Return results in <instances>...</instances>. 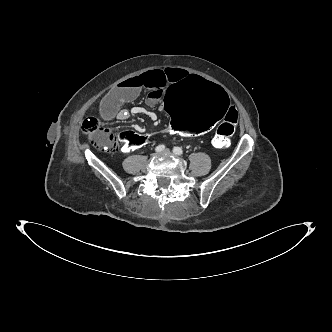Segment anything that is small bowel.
<instances>
[{"label": "small bowel", "mask_w": 332, "mask_h": 332, "mask_svg": "<svg viewBox=\"0 0 332 332\" xmlns=\"http://www.w3.org/2000/svg\"><path fill=\"white\" fill-rule=\"evenodd\" d=\"M188 75L191 74L182 68H166L149 70L128 78L120 82L102 98L99 106L100 116L105 120L115 117L120 120L126 119V115L121 111L122 105L136 99L142 90L148 91L147 105L155 106L169 86ZM137 109L135 114H149L142 108ZM231 109L235 110L233 107ZM133 128L139 133L146 131L145 126L140 124H135Z\"/></svg>", "instance_id": "c3829d8e"}]
</instances>
